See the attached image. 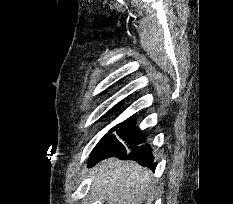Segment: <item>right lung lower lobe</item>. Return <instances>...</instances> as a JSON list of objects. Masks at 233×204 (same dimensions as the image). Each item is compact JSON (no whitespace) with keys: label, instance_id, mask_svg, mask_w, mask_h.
Here are the masks:
<instances>
[{"label":"right lung lower lobe","instance_id":"right-lung-lower-lobe-1","mask_svg":"<svg viewBox=\"0 0 233 204\" xmlns=\"http://www.w3.org/2000/svg\"><path fill=\"white\" fill-rule=\"evenodd\" d=\"M117 157L122 160H135L139 164L155 170L157 162H154L152 149L148 144L135 146L129 150L109 151L100 147H95L90 155L89 164L94 165L102 159Z\"/></svg>","mask_w":233,"mask_h":204}]
</instances>
